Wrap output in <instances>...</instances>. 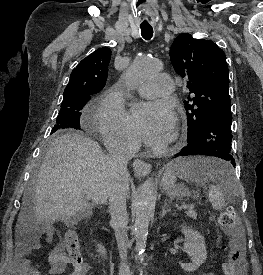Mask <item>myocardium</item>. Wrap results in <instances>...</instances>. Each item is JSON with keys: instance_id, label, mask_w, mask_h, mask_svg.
Instances as JSON below:
<instances>
[{"instance_id": "myocardium-1", "label": "myocardium", "mask_w": 263, "mask_h": 275, "mask_svg": "<svg viewBox=\"0 0 263 275\" xmlns=\"http://www.w3.org/2000/svg\"><path fill=\"white\" fill-rule=\"evenodd\" d=\"M175 137H178V133L175 134Z\"/></svg>"}]
</instances>
